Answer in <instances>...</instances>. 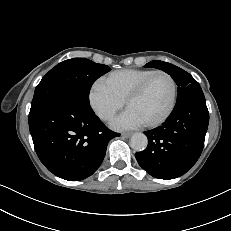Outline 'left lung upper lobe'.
<instances>
[{
	"label": "left lung upper lobe",
	"mask_w": 231,
	"mask_h": 231,
	"mask_svg": "<svg viewBox=\"0 0 231 231\" xmlns=\"http://www.w3.org/2000/svg\"><path fill=\"white\" fill-rule=\"evenodd\" d=\"M145 67H155L168 73L178 85L177 99L182 96L190 87L199 86V83L183 69L162 61H151Z\"/></svg>",
	"instance_id": "1"
}]
</instances>
